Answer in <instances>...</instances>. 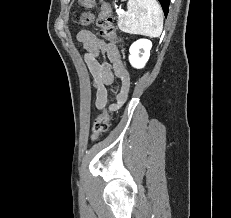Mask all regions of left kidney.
Masks as SVG:
<instances>
[{"label": "left kidney", "mask_w": 231, "mask_h": 218, "mask_svg": "<svg viewBox=\"0 0 231 218\" xmlns=\"http://www.w3.org/2000/svg\"><path fill=\"white\" fill-rule=\"evenodd\" d=\"M152 43L148 39H139L134 42L130 49L129 61L135 68H143L150 57Z\"/></svg>", "instance_id": "5707ae66"}]
</instances>
